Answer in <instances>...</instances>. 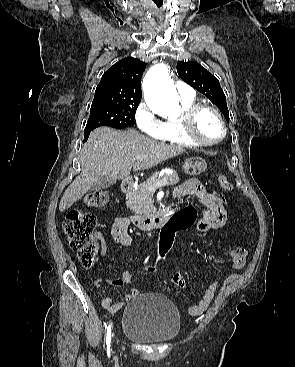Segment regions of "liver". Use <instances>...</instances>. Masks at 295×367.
<instances>
[{"mask_svg": "<svg viewBox=\"0 0 295 367\" xmlns=\"http://www.w3.org/2000/svg\"><path fill=\"white\" fill-rule=\"evenodd\" d=\"M185 150L152 140L134 129L110 127L93 130L79 154L81 173L64 192L59 210L65 211L105 178L124 179L135 171L152 168Z\"/></svg>", "mask_w": 295, "mask_h": 367, "instance_id": "6515ba94", "label": "liver"}]
</instances>
